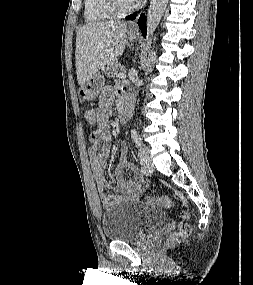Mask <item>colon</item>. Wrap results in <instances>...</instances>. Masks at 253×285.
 Here are the masks:
<instances>
[{
    "label": "colon",
    "mask_w": 253,
    "mask_h": 285,
    "mask_svg": "<svg viewBox=\"0 0 253 285\" xmlns=\"http://www.w3.org/2000/svg\"><path fill=\"white\" fill-rule=\"evenodd\" d=\"M85 119L89 125H95L98 123V116L95 110L89 109L85 111ZM148 201L154 205L163 207V208H170L173 205L172 199L168 196H158V197H150L148 198ZM189 214L187 211H184L182 213V218L184 221H182L178 228L170 235L169 242H177L185 237H187L191 232L190 225L186 222L188 219Z\"/></svg>",
    "instance_id": "obj_1"
}]
</instances>
